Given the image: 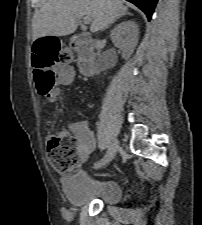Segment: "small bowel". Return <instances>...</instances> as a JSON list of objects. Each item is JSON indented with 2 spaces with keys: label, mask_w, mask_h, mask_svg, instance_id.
I'll list each match as a JSON object with an SVG mask.
<instances>
[{
  "label": "small bowel",
  "mask_w": 202,
  "mask_h": 225,
  "mask_svg": "<svg viewBox=\"0 0 202 225\" xmlns=\"http://www.w3.org/2000/svg\"><path fill=\"white\" fill-rule=\"evenodd\" d=\"M60 71L65 74L63 78L66 84L69 85L73 79V67L66 65L61 67ZM69 130L78 144L79 160L83 163L87 162L96 146V140L89 128V123L85 120L71 123Z\"/></svg>",
  "instance_id": "1"
}]
</instances>
